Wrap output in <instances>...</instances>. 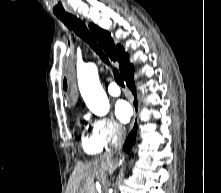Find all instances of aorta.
<instances>
[{
	"label": "aorta",
	"mask_w": 221,
	"mask_h": 193,
	"mask_svg": "<svg viewBox=\"0 0 221 193\" xmlns=\"http://www.w3.org/2000/svg\"><path fill=\"white\" fill-rule=\"evenodd\" d=\"M81 95L89 110L98 116H105L110 109L108 97L103 90L94 63H87L77 72Z\"/></svg>",
	"instance_id": "762f6f07"
}]
</instances>
